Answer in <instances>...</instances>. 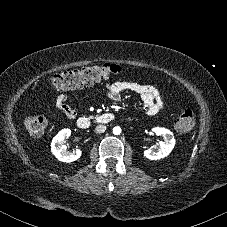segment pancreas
<instances>
[{"mask_svg": "<svg viewBox=\"0 0 227 227\" xmlns=\"http://www.w3.org/2000/svg\"><path fill=\"white\" fill-rule=\"evenodd\" d=\"M90 118H94V116H90Z\"/></svg>", "mask_w": 227, "mask_h": 227, "instance_id": "obj_1", "label": "pancreas"}]
</instances>
